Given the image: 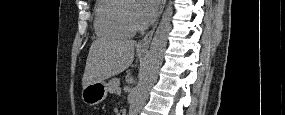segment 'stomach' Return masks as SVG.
<instances>
[{
	"label": "stomach",
	"instance_id": "0dacf381",
	"mask_svg": "<svg viewBox=\"0 0 285 115\" xmlns=\"http://www.w3.org/2000/svg\"><path fill=\"white\" fill-rule=\"evenodd\" d=\"M107 96V84L103 82H94L82 90V100L89 106H94L102 102Z\"/></svg>",
	"mask_w": 285,
	"mask_h": 115
}]
</instances>
